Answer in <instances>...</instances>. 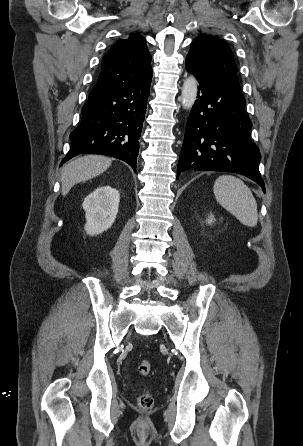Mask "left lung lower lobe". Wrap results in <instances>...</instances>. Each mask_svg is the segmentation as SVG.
Returning <instances> with one entry per match:
<instances>
[{
  "label": "left lung lower lobe",
  "mask_w": 303,
  "mask_h": 446,
  "mask_svg": "<svg viewBox=\"0 0 303 446\" xmlns=\"http://www.w3.org/2000/svg\"><path fill=\"white\" fill-rule=\"evenodd\" d=\"M186 69L199 81L196 100L185 130L177 177L194 168L243 174L265 192L259 172V148L251 141V120L242 93L223 80L186 61Z\"/></svg>",
  "instance_id": "obj_1"
}]
</instances>
